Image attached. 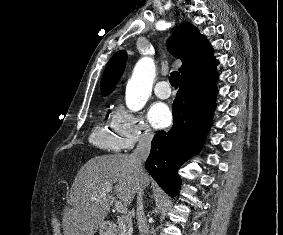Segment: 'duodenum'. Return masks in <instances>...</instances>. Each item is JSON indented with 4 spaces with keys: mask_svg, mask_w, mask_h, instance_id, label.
Instances as JSON below:
<instances>
[{
    "mask_svg": "<svg viewBox=\"0 0 283 235\" xmlns=\"http://www.w3.org/2000/svg\"><path fill=\"white\" fill-rule=\"evenodd\" d=\"M114 224H113V222H108V223H105L104 224V227L105 228H108V227H111V226H113Z\"/></svg>",
    "mask_w": 283,
    "mask_h": 235,
    "instance_id": "obj_1",
    "label": "duodenum"
}]
</instances>
